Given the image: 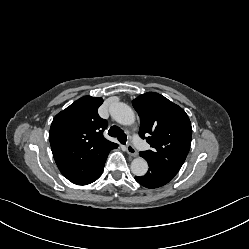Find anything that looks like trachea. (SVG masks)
I'll list each match as a JSON object with an SVG mask.
<instances>
[{"mask_svg": "<svg viewBox=\"0 0 249 249\" xmlns=\"http://www.w3.org/2000/svg\"><path fill=\"white\" fill-rule=\"evenodd\" d=\"M108 134L111 136V137H116L120 143L122 144H126V141H127V136L126 134L124 133L123 130H121L118 126L114 125L112 126L109 131H108Z\"/></svg>", "mask_w": 249, "mask_h": 249, "instance_id": "obj_1", "label": "trachea"}]
</instances>
